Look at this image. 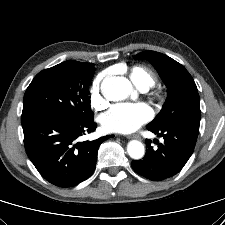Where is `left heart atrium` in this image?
Masks as SVG:
<instances>
[{
    "label": "left heart atrium",
    "mask_w": 225,
    "mask_h": 225,
    "mask_svg": "<svg viewBox=\"0 0 225 225\" xmlns=\"http://www.w3.org/2000/svg\"><path fill=\"white\" fill-rule=\"evenodd\" d=\"M151 108L144 103H120L101 117V124L108 132L131 133L149 121Z\"/></svg>",
    "instance_id": "1"
}]
</instances>
